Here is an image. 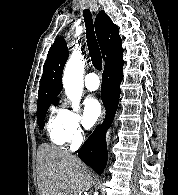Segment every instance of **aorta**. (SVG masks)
I'll return each mask as SVG.
<instances>
[{
    "label": "aorta",
    "instance_id": "762f6f07",
    "mask_svg": "<svg viewBox=\"0 0 178 195\" xmlns=\"http://www.w3.org/2000/svg\"><path fill=\"white\" fill-rule=\"evenodd\" d=\"M85 60L81 54L73 53L66 63L63 73V87L74 111L79 110L83 90Z\"/></svg>",
    "mask_w": 178,
    "mask_h": 195
}]
</instances>
